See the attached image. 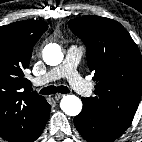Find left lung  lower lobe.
Wrapping results in <instances>:
<instances>
[{
	"label": "left lung lower lobe",
	"mask_w": 142,
	"mask_h": 142,
	"mask_svg": "<svg viewBox=\"0 0 142 142\" xmlns=\"http://www.w3.org/2000/svg\"><path fill=\"white\" fill-rule=\"evenodd\" d=\"M83 109L74 118L81 136L88 142H112L120 137L129 125L119 123L101 109L81 98Z\"/></svg>",
	"instance_id": "0a47b994"
}]
</instances>
